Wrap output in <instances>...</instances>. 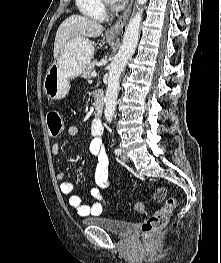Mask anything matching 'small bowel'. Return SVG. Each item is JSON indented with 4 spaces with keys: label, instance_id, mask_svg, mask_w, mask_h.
I'll return each mask as SVG.
<instances>
[{
    "label": "small bowel",
    "instance_id": "obj_1",
    "mask_svg": "<svg viewBox=\"0 0 221 263\" xmlns=\"http://www.w3.org/2000/svg\"><path fill=\"white\" fill-rule=\"evenodd\" d=\"M68 136L75 137L79 133V129L75 125H69L66 129ZM102 131L97 129L94 125L92 127V137L89 142V152L96 162L94 171V180L96 187L91 188L90 195L94 201L90 204L82 202L79 195L74 193L75 182L68 181L64 171H58L56 179L60 184V191L62 194L68 196L69 205L77 210L80 216L99 215L103 211L102 195L100 189L108 188L111 184L109 177V158L105 150L102 140ZM51 152L53 155L60 153V145L54 142L51 145Z\"/></svg>",
    "mask_w": 221,
    "mask_h": 263
}]
</instances>
